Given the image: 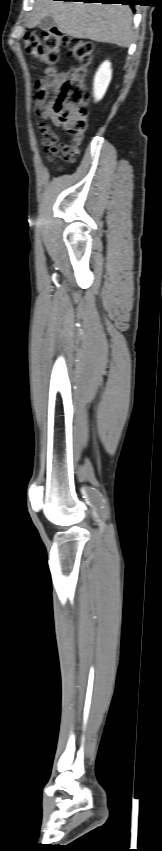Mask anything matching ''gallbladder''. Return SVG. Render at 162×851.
Instances as JSON below:
<instances>
[{"instance_id": "gallbladder-1", "label": "gallbladder", "mask_w": 162, "mask_h": 851, "mask_svg": "<svg viewBox=\"0 0 162 851\" xmlns=\"http://www.w3.org/2000/svg\"><path fill=\"white\" fill-rule=\"evenodd\" d=\"M38 26L42 30H49V29L56 26V22H55L53 17L48 16V17L43 18L39 22Z\"/></svg>"}]
</instances>
